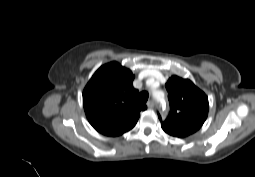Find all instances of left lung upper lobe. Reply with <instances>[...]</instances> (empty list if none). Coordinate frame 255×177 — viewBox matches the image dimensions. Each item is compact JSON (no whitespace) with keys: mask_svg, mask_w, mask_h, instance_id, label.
I'll list each match as a JSON object with an SVG mask.
<instances>
[{"mask_svg":"<svg viewBox=\"0 0 255 177\" xmlns=\"http://www.w3.org/2000/svg\"><path fill=\"white\" fill-rule=\"evenodd\" d=\"M170 102V113L161 121L169 135L183 138L201 128L208 115V97L189 79L172 76L165 84Z\"/></svg>","mask_w":255,"mask_h":177,"instance_id":"left-lung-upper-lobe-1","label":"left lung upper lobe"}]
</instances>
